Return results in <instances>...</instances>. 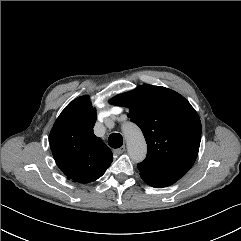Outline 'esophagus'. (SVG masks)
<instances>
[{"instance_id":"obj_1","label":"esophagus","mask_w":241,"mask_h":241,"mask_svg":"<svg viewBox=\"0 0 241 241\" xmlns=\"http://www.w3.org/2000/svg\"><path fill=\"white\" fill-rule=\"evenodd\" d=\"M124 151H125V145H123L122 147H120V148H118V149L113 150V154H114V155H120V154H122Z\"/></svg>"}]
</instances>
